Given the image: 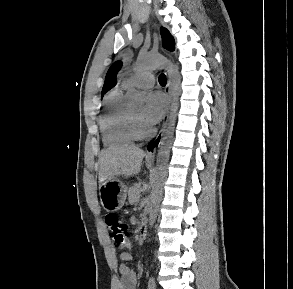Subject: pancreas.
<instances>
[{"instance_id":"cf45deb5","label":"pancreas","mask_w":293,"mask_h":289,"mask_svg":"<svg viewBox=\"0 0 293 289\" xmlns=\"http://www.w3.org/2000/svg\"><path fill=\"white\" fill-rule=\"evenodd\" d=\"M140 183L138 184H134L133 186H131L129 188V191H128V196H129V200L131 202H136L137 201V198L140 194Z\"/></svg>"}]
</instances>
